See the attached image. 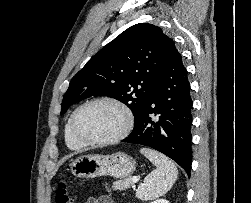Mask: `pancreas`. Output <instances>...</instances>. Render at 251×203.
I'll return each mask as SVG.
<instances>
[{
	"mask_svg": "<svg viewBox=\"0 0 251 203\" xmlns=\"http://www.w3.org/2000/svg\"><path fill=\"white\" fill-rule=\"evenodd\" d=\"M132 185H133L132 178L129 177L123 180L116 181L113 185V189L122 191V190L130 188V186Z\"/></svg>",
	"mask_w": 251,
	"mask_h": 203,
	"instance_id": "pancreas-1",
	"label": "pancreas"
}]
</instances>
